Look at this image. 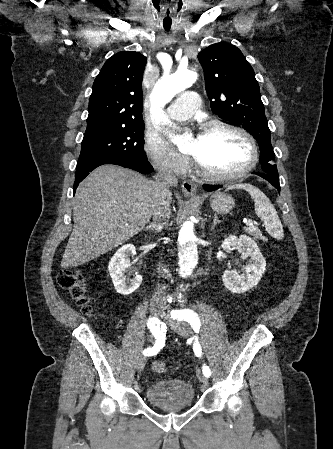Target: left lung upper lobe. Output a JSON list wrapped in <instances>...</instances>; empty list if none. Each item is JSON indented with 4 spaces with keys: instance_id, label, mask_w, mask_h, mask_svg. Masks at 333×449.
<instances>
[{
    "instance_id": "5c2ea615",
    "label": "left lung upper lobe",
    "mask_w": 333,
    "mask_h": 449,
    "mask_svg": "<svg viewBox=\"0 0 333 449\" xmlns=\"http://www.w3.org/2000/svg\"><path fill=\"white\" fill-rule=\"evenodd\" d=\"M198 59L204 69L212 111L251 133L259 144L262 171L278 177L270 129L251 65L236 46L228 43L210 45L198 54Z\"/></svg>"
}]
</instances>
